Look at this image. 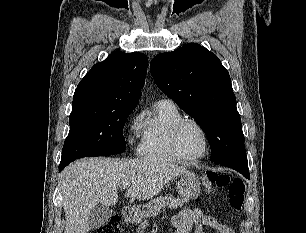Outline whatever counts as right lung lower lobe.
I'll return each mask as SVG.
<instances>
[{"mask_svg":"<svg viewBox=\"0 0 306 233\" xmlns=\"http://www.w3.org/2000/svg\"><path fill=\"white\" fill-rule=\"evenodd\" d=\"M68 164L66 163H60V166H59V171H61L65 166H67Z\"/></svg>","mask_w":306,"mask_h":233,"instance_id":"1","label":"right lung lower lobe"}]
</instances>
